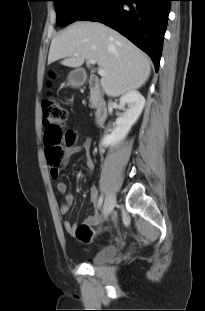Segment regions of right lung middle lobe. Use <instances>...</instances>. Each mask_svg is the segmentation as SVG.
<instances>
[{"mask_svg":"<svg viewBox=\"0 0 205 311\" xmlns=\"http://www.w3.org/2000/svg\"><path fill=\"white\" fill-rule=\"evenodd\" d=\"M57 13L56 23L66 26L91 11L100 0H53Z\"/></svg>","mask_w":205,"mask_h":311,"instance_id":"obj_1","label":"right lung middle lobe"}]
</instances>
